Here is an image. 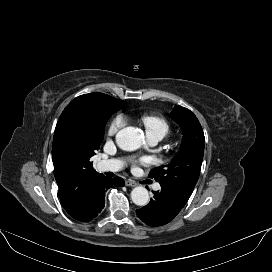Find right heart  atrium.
<instances>
[{
	"label": "right heart atrium",
	"instance_id": "1",
	"mask_svg": "<svg viewBox=\"0 0 272 272\" xmlns=\"http://www.w3.org/2000/svg\"><path fill=\"white\" fill-rule=\"evenodd\" d=\"M126 123V118L123 115H117L110 123L108 128V134L110 136L114 135L124 124Z\"/></svg>",
	"mask_w": 272,
	"mask_h": 272
}]
</instances>
